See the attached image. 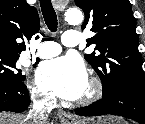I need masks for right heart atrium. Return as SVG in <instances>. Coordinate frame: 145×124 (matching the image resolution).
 I'll use <instances>...</instances> for the list:
<instances>
[{"instance_id":"d8ad5b80","label":"right heart atrium","mask_w":145,"mask_h":124,"mask_svg":"<svg viewBox=\"0 0 145 124\" xmlns=\"http://www.w3.org/2000/svg\"><path fill=\"white\" fill-rule=\"evenodd\" d=\"M31 93L39 105L53 106L55 103L53 95L38 86H32Z\"/></svg>"}]
</instances>
